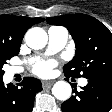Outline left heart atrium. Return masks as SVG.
I'll return each instance as SVG.
<instances>
[{"label":"left heart atrium","mask_w":112,"mask_h":112,"mask_svg":"<svg viewBox=\"0 0 112 112\" xmlns=\"http://www.w3.org/2000/svg\"><path fill=\"white\" fill-rule=\"evenodd\" d=\"M30 63L33 73L42 77L51 74L57 65L55 59H40L39 57L31 58Z\"/></svg>","instance_id":"left-heart-atrium-1"}]
</instances>
